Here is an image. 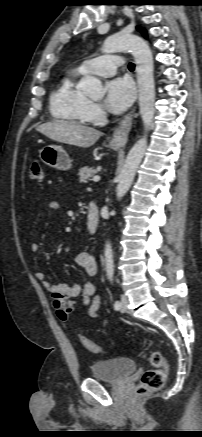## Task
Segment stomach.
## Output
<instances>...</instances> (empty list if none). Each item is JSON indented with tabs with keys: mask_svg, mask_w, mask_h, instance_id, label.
<instances>
[{
	"mask_svg": "<svg viewBox=\"0 0 202 437\" xmlns=\"http://www.w3.org/2000/svg\"><path fill=\"white\" fill-rule=\"evenodd\" d=\"M108 146L114 150L120 148V145L114 142H110ZM39 157L44 164L58 170L67 171L72 166L69 155L58 145H47L43 147L39 152Z\"/></svg>",
	"mask_w": 202,
	"mask_h": 437,
	"instance_id": "obj_1",
	"label": "stomach"
}]
</instances>
